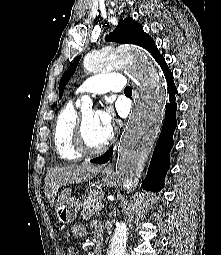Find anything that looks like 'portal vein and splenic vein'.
<instances>
[{
    "instance_id": "portal-vein-and-splenic-vein-1",
    "label": "portal vein and splenic vein",
    "mask_w": 221,
    "mask_h": 255,
    "mask_svg": "<svg viewBox=\"0 0 221 255\" xmlns=\"http://www.w3.org/2000/svg\"><path fill=\"white\" fill-rule=\"evenodd\" d=\"M104 208V204L100 203L96 206L97 211H100Z\"/></svg>"
}]
</instances>
